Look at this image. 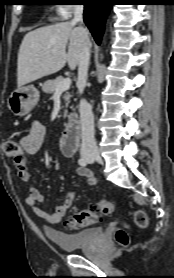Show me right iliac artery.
Segmentation results:
<instances>
[{
    "mask_svg": "<svg viewBox=\"0 0 174 278\" xmlns=\"http://www.w3.org/2000/svg\"><path fill=\"white\" fill-rule=\"evenodd\" d=\"M78 163L81 165V166H86L87 165V160L85 158H80L78 160Z\"/></svg>",
    "mask_w": 174,
    "mask_h": 278,
    "instance_id": "obj_1",
    "label": "right iliac artery"
}]
</instances>
